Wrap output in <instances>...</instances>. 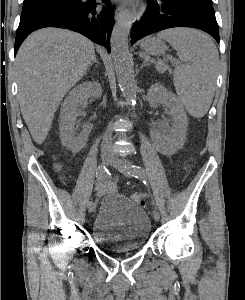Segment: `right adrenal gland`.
Segmentation results:
<instances>
[{
    "instance_id": "1",
    "label": "right adrenal gland",
    "mask_w": 245,
    "mask_h": 300,
    "mask_svg": "<svg viewBox=\"0 0 245 300\" xmlns=\"http://www.w3.org/2000/svg\"><path fill=\"white\" fill-rule=\"evenodd\" d=\"M94 63L99 64V61L96 59V56H94L93 61L91 62V65H93Z\"/></svg>"
}]
</instances>
